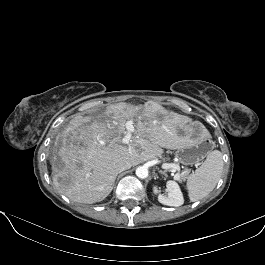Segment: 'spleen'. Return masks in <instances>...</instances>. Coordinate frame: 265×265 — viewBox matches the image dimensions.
Masks as SVG:
<instances>
[{
	"mask_svg": "<svg viewBox=\"0 0 265 265\" xmlns=\"http://www.w3.org/2000/svg\"><path fill=\"white\" fill-rule=\"evenodd\" d=\"M222 153L214 150L203 164L187 178V190L192 202L206 197L216 186L223 171Z\"/></svg>",
	"mask_w": 265,
	"mask_h": 265,
	"instance_id": "3e777b00",
	"label": "spleen"
}]
</instances>
